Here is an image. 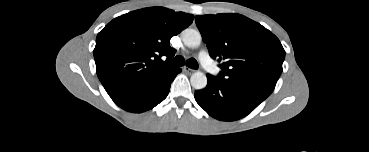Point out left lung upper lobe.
Masks as SVG:
<instances>
[{
  "label": "left lung upper lobe",
  "mask_w": 369,
  "mask_h": 152,
  "mask_svg": "<svg viewBox=\"0 0 369 152\" xmlns=\"http://www.w3.org/2000/svg\"><path fill=\"white\" fill-rule=\"evenodd\" d=\"M195 22L210 56L222 62L220 80L269 95L273 92L285 58L274 34L235 13L196 16Z\"/></svg>",
  "instance_id": "obj_1"
}]
</instances>
